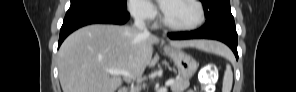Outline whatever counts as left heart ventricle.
<instances>
[{"label": "left heart ventricle", "instance_id": "left-heart-ventricle-1", "mask_svg": "<svg viewBox=\"0 0 296 92\" xmlns=\"http://www.w3.org/2000/svg\"><path fill=\"white\" fill-rule=\"evenodd\" d=\"M167 20L178 26H189L198 20V10L190 1H167L164 3Z\"/></svg>", "mask_w": 296, "mask_h": 92}]
</instances>
